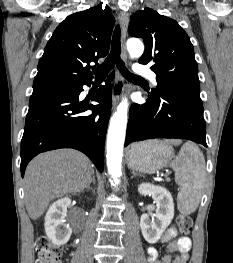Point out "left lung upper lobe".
I'll return each instance as SVG.
<instances>
[{"mask_svg":"<svg viewBox=\"0 0 233 263\" xmlns=\"http://www.w3.org/2000/svg\"><path fill=\"white\" fill-rule=\"evenodd\" d=\"M129 33L145 42L139 63L152 64L157 75L158 85L152 95L157 96L168 87L200 90L193 45L175 20L146 8L132 15Z\"/></svg>","mask_w":233,"mask_h":263,"instance_id":"5c2ea615","label":"left lung upper lobe"}]
</instances>
